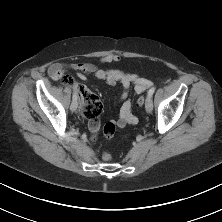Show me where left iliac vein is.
Instances as JSON below:
<instances>
[{
  "mask_svg": "<svg viewBox=\"0 0 222 222\" xmlns=\"http://www.w3.org/2000/svg\"><path fill=\"white\" fill-rule=\"evenodd\" d=\"M145 109L148 113H151L153 110V101H152L151 96H149V95L146 98Z\"/></svg>",
  "mask_w": 222,
  "mask_h": 222,
  "instance_id": "4c4485c4",
  "label": "left iliac vein"
}]
</instances>
